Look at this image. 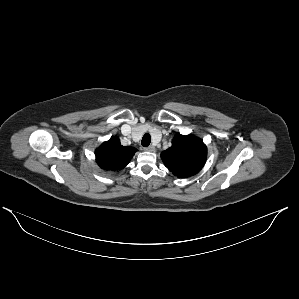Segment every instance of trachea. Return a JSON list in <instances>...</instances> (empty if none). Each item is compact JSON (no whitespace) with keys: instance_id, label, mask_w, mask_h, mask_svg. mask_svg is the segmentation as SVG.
Segmentation results:
<instances>
[{"instance_id":"obj_1","label":"trachea","mask_w":299,"mask_h":299,"mask_svg":"<svg viewBox=\"0 0 299 299\" xmlns=\"http://www.w3.org/2000/svg\"><path fill=\"white\" fill-rule=\"evenodd\" d=\"M150 142H151L150 134L149 133L144 134L142 141H141L142 146L148 147Z\"/></svg>"}]
</instances>
